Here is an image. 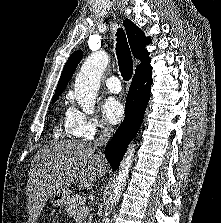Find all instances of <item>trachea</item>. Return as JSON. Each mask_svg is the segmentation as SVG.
<instances>
[{"label": "trachea", "mask_w": 221, "mask_h": 223, "mask_svg": "<svg viewBox=\"0 0 221 223\" xmlns=\"http://www.w3.org/2000/svg\"><path fill=\"white\" fill-rule=\"evenodd\" d=\"M116 55L119 64V71L125 81L131 79L133 74V60L131 51L127 42L126 35L122 29H119L116 33Z\"/></svg>", "instance_id": "1"}]
</instances>
